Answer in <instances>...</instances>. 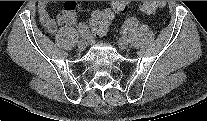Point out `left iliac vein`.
<instances>
[{"mask_svg":"<svg viewBox=\"0 0 207 121\" xmlns=\"http://www.w3.org/2000/svg\"><path fill=\"white\" fill-rule=\"evenodd\" d=\"M118 45H119V48L122 49V50H125L128 48V45H129V41L127 38L125 37H121L119 40H118Z\"/></svg>","mask_w":207,"mask_h":121,"instance_id":"4c4485c4","label":"left iliac vein"}]
</instances>
